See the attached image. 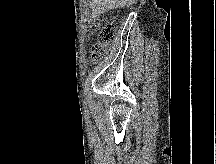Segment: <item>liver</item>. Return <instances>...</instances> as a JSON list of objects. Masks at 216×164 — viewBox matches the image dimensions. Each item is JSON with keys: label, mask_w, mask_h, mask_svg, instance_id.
Instances as JSON below:
<instances>
[{"label": "liver", "mask_w": 216, "mask_h": 164, "mask_svg": "<svg viewBox=\"0 0 216 164\" xmlns=\"http://www.w3.org/2000/svg\"><path fill=\"white\" fill-rule=\"evenodd\" d=\"M136 2L137 0H92V14L97 17L106 11L129 7Z\"/></svg>", "instance_id": "obj_1"}]
</instances>
